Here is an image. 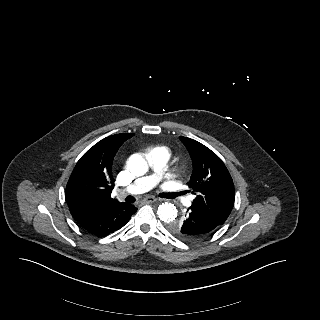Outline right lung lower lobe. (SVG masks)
I'll use <instances>...</instances> for the list:
<instances>
[{"label":"right lung lower lobe","mask_w":320,"mask_h":320,"mask_svg":"<svg viewBox=\"0 0 320 320\" xmlns=\"http://www.w3.org/2000/svg\"><path fill=\"white\" fill-rule=\"evenodd\" d=\"M137 208L128 203H117L77 220L80 227L95 236L104 237L122 228Z\"/></svg>","instance_id":"right-lung-lower-lobe-1"}]
</instances>
